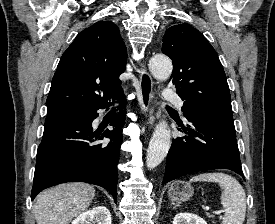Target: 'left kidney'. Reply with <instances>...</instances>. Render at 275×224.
I'll return each instance as SVG.
<instances>
[{
    "label": "left kidney",
    "mask_w": 275,
    "mask_h": 224,
    "mask_svg": "<svg viewBox=\"0 0 275 224\" xmlns=\"http://www.w3.org/2000/svg\"><path fill=\"white\" fill-rule=\"evenodd\" d=\"M173 224H207L204 219L192 213H178L174 219Z\"/></svg>",
    "instance_id": "left-kidney-1"
}]
</instances>
